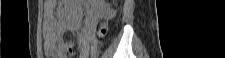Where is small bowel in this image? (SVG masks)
Masks as SVG:
<instances>
[{
  "label": "small bowel",
  "mask_w": 225,
  "mask_h": 58,
  "mask_svg": "<svg viewBox=\"0 0 225 58\" xmlns=\"http://www.w3.org/2000/svg\"><path fill=\"white\" fill-rule=\"evenodd\" d=\"M56 3L47 1L44 9V51L50 57H62L61 50L64 44L66 27L54 15ZM96 10V9H95ZM106 13H111L106 10Z\"/></svg>",
  "instance_id": "c3829d8e"
}]
</instances>
